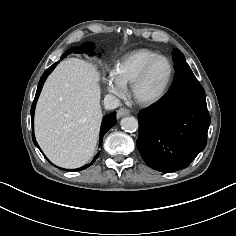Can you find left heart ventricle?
Masks as SVG:
<instances>
[{"mask_svg": "<svg viewBox=\"0 0 236 236\" xmlns=\"http://www.w3.org/2000/svg\"><path fill=\"white\" fill-rule=\"evenodd\" d=\"M169 72L170 67L166 60L162 59L156 62L143 81L140 93L146 97L158 95L168 80Z\"/></svg>", "mask_w": 236, "mask_h": 236, "instance_id": "left-heart-ventricle-1", "label": "left heart ventricle"}]
</instances>
